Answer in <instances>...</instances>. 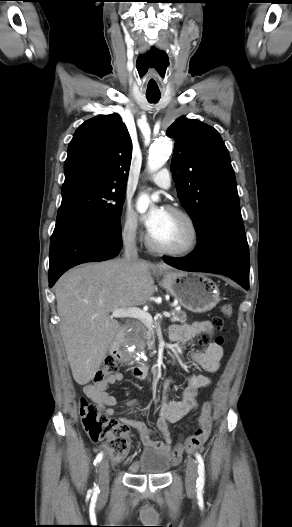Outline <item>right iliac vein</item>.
I'll use <instances>...</instances> for the list:
<instances>
[{"label": "right iliac vein", "mask_w": 292, "mask_h": 527, "mask_svg": "<svg viewBox=\"0 0 292 527\" xmlns=\"http://www.w3.org/2000/svg\"><path fill=\"white\" fill-rule=\"evenodd\" d=\"M98 472L100 489L102 492H106L109 484V464L106 459L100 463Z\"/></svg>", "instance_id": "obj_1"}]
</instances>
